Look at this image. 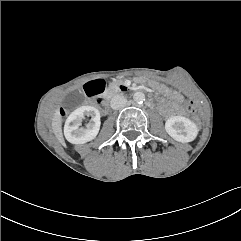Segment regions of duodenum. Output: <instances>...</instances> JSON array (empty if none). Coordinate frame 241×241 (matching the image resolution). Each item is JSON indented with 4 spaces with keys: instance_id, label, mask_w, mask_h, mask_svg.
<instances>
[{
    "instance_id": "1",
    "label": "duodenum",
    "mask_w": 241,
    "mask_h": 241,
    "mask_svg": "<svg viewBox=\"0 0 241 241\" xmlns=\"http://www.w3.org/2000/svg\"><path fill=\"white\" fill-rule=\"evenodd\" d=\"M130 90V87L126 84H120L117 88L113 87L107 90L105 98L103 100V107L106 109L108 107L109 99L117 92H127Z\"/></svg>"
}]
</instances>
